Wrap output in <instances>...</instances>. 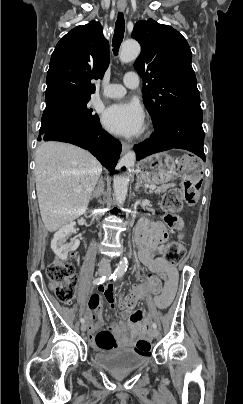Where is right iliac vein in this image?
Returning <instances> with one entry per match:
<instances>
[{
	"mask_svg": "<svg viewBox=\"0 0 243 404\" xmlns=\"http://www.w3.org/2000/svg\"><path fill=\"white\" fill-rule=\"evenodd\" d=\"M102 275H103V272H99V276H102ZM86 329H87L86 324H85V323H82V324H81V331L85 332Z\"/></svg>",
	"mask_w": 243,
	"mask_h": 404,
	"instance_id": "right-iliac-vein-1",
	"label": "right iliac vein"
}]
</instances>
